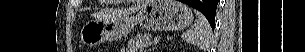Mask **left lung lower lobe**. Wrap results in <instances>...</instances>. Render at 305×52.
Returning a JSON list of instances; mask_svg holds the SVG:
<instances>
[{
  "label": "left lung lower lobe",
  "mask_w": 305,
  "mask_h": 52,
  "mask_svg": "<svg viewBox=\"0 0 305 52\" xmlns=\"http://www.w3.org/2000/svg\"><path fill=\"white\" fill-rule=\"evenodd\" d=\"M204 14V11L215 10L217 9L218 0H181ZM211 25V24H210ZM214 25H211L212 29H214Z\"/></svg>",
  "instance_id": "1"
}]
</instances>
